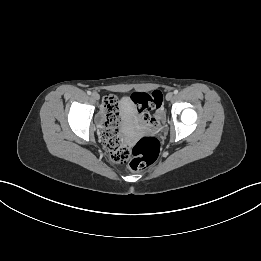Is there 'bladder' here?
Masks as SVG:
<instances>
[{"label":"bladder","instance_id":"obj_1","mask_svg":"<svg viewBox=\"0 0 261 261\" xmlns=\"http://www.w3.org/2000/svg\"><path fill=\"white\" fill-rule=\"evenodd\" d=\"M120 112L124 121L128 125H132L134 122V106L132 101L128 97H123L121 99Z\"/></svg>","mask_w":261,"mask_h":261}]
</instances>
